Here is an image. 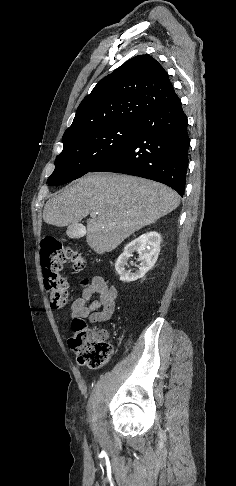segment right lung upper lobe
Listing matches in <instances>:
<instances>
[{
    "mask_svg": "<svg viewBox=\"0 0 236 486\" xmlns=\"http://www.w3.org/2000/svg\"><path fill=\"white\" fill-rule=\"evenodd\" d=\"M178 101L157 60L149 55L133 57L101 79L82 100L63 140L98 128L136 123L149 112Z\"/></svg>",
    "mask_w": 236,
    "mask_h": 486,
    "instance_id": "cb5924a9",
    "label": "right lung upper lobe"
}]
</instances>
